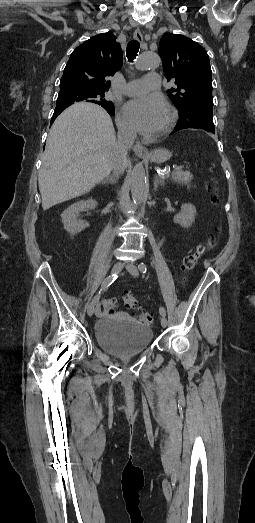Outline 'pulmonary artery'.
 Masks as SVG:
<instances>
[{
  "instance_id": "e3ab8cb5",
  "label": "pulmonary artery",
  "mask_w": 255,
  "mask_h": 523,
  "mask_svg": "<svg viewBox=\"0 0 255 523\" xmlns=\"http://www.w3.org/2000/svg\"><path fill=\"white\" fill-rule=\"evenodd\" d=\"M160 80L161 77L159 73L152 71L147 74L144 79L129 82L123 92L129 96L133 95L135 100H140L143 92H155L159 88L158 84Z\"/></svg>"
}]
</instances>
